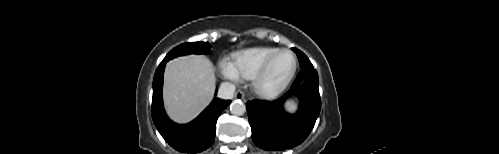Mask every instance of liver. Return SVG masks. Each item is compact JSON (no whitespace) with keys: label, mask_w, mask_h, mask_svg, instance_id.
Instances as JSON below:
<instances>
[{"label":"liver","mask_w":499,"mask_h":154,"mask_svg":"<svg viewBox=\"0 0 499 154\" xmlns=\"http://www.w3.org/2000/svg\"><path fill=\"white\" fill-rule=\"evenodd\" d=\"M216 77L212 63L201 55L175 58L166 65L164 104L177 123L196 118L214 96Z\"/></svg>","instance_id":"1"}]
</instances>
